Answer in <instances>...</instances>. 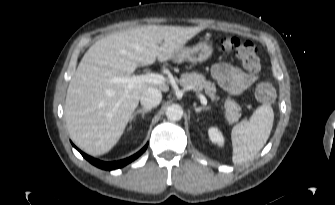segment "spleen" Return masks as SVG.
I'll list each match as a JSON object with an SVG mask.
<instances>
[{"mask_svg": "<svg viewBox=\"0 0 335 205\" xmlns=\"http://www.w3.org/2000/svg\"><path fill=\"white\" fill-rule=\"evenodd\" d=\"M274 121V112L270 105L258 107L249 120H243L233 127L231 132L234 164L251 160L267 142Z\"/></svg>", "mask_w": 335, "mask_h": 205, "instance_id": "obj_1", "label": "spleen"}]
</instances>
